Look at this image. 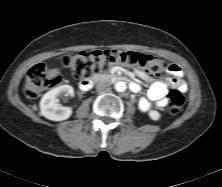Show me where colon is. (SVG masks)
<instances>
[{
	"instance_id": "obj_1",
	"label": "colon",
	"mask_w": 222,
	"mask_h": 187,
	"mask_svg": "<svg viewBox=\"0 0 222 187\" xmlns=\"http://www.w3.org/2000/svg\"><path fill=\"white\" fill-rule=\"evenodd\" d=\"M62 64L71 70L79 80H89L93 75L106 72L113 65L140 68L148 75H158L168 69V64L151 54L135 51L94 50L76 55H65ZM62 82L60 72L54 68L37 64L33 66L26 78L24 92L29 98H36L47 89L54 88ZM185 96L179 89L169 95V111L173 115L181 112Z\"/></svg>"
}]
</instances>
